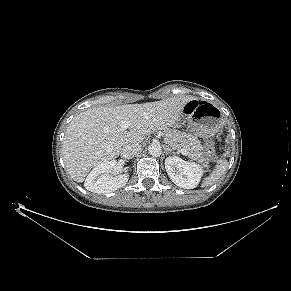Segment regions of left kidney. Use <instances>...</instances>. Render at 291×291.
I'll return each instance as SVG.
<instances>
[{
	"label": "left kidney",
	"instance_id": "obj_1",
	"mask_svg": "<svg viewBox=\"0 0 291 291\" xmlns=\"http://www.w3.org/2000/svg\"><path fill=\"white\" fill-rule=\"evenodd\" d=\"M165 168L172 182L184 189L195 188L204 173L201 165L195 162L184 161L177 156L167 157Z\"/></svg>",
	"mask_w": 291,
	"mask_h": 291
}]
</instances>
